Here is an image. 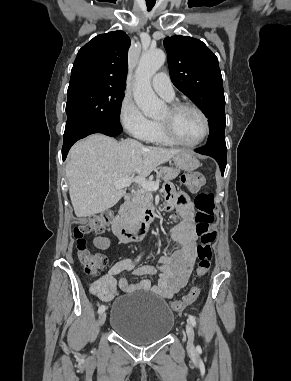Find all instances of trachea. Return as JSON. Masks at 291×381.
I'll return each instance as SVG.
<instances>
[{
  "instance_id": "1",
  "label": "trachea",
  "mask_w": 291,
  "mask_h": 381,
  "mask_svg": "<svg viewBox=\"0 0 291 381\" xmlns=\"http://www.w3.org/2000/svg\"><path fill=\"white\" fill-rule=\"evenodd\" d=\"M155 5V1L154 2H148L146 1V6H147V9L148 11H150Z\"/></svg>"
}]
</instances>
